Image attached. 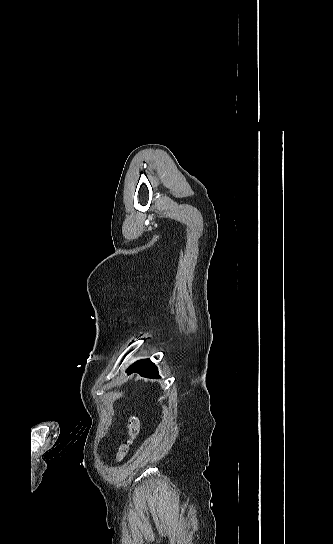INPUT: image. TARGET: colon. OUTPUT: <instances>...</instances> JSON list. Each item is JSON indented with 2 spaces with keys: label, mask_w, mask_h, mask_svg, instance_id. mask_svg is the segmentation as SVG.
<instances>
[{
  "label": "colon",
  "mask_w": 333,
  "mask_h": 544,
  "mask_svg": "<svg viewBox=\"0 0 333 544\" xmlns=\"http://www.w3.org/2000/svg\"><path fill=\"white\" fill-rule=\"evenodd\" d=\"M127 426H128V439L119 446L115 454V458L117 461H121L125 458V456L129 452L130 447L132 446V444L138 437L140 432L139 418L134 414L130 415L128 417Z\"/></svg>",
  "instance_id": "1"
}]
</instances>
